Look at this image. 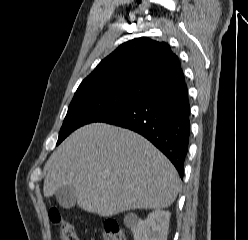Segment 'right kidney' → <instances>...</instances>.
Listing matches in <instances>:
<instances>
[{"instance_id": "ca27d5eb", "label": "right kidney", "mask_w": 248, "mask_h": 240, "mask_svg": "<svg viewBox=\"0 0 248 240\" xmlns=\"http://www.w3.org/2000/svg\"><path fill=\"white\" fill-rule=\"evenodd\" d=\"M170 212L155 210L132 226L134 240H167Z\"/></svg>"}]
</instances>
